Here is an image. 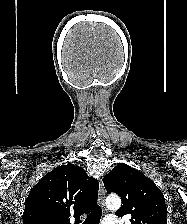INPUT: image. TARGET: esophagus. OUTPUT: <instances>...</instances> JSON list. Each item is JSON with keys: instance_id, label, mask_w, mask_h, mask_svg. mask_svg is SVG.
<instances>
[{"instance_id": "esophagus-1", "label": "esophagus", "mask_w": 187, "mask_h": 224, "mask_svg": "<svg viewBox=\"0 0 187 224\" xmlns=\"http://www.w3.org/2000/svg\"><path fill=\"white\" fill-rule=\"evenodd\" d=\"M105 188L102 180L99 182V193H98V202L102 208H105Z\"/></svg>"}]
</instances>
